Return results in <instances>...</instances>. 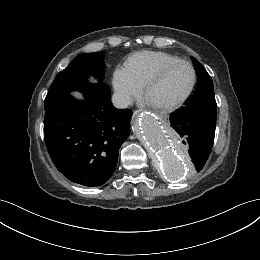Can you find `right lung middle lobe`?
Returning <instances> with one entry per match:
<instances>
[{"label":"right lung middle lobe","mask_w":260,"mask_h":260,"mask_svg":"<svg viewBox=\"0 0 260 260\" xmlns=\"http://www.w3.org/2000/svg\"><path fill=\"white\" fill-rule=\"evenodd\" d=\"M103 57L99 52L84 53L75 57L64 70L58 73L48 90L46 99L68 94L71 90L84 93L94 85L86 78L89 74L101 81L104 76Z\"/></svg>","instance_id":"obj_1"}]
</instances>
